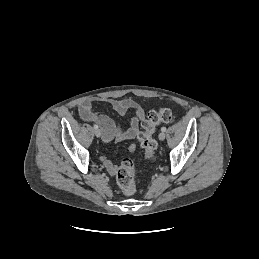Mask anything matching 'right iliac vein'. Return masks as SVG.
Returning <instances> with one entry per match:
<instances>
[{"label":"right iliac vein","mask_w":259,"mask_h":259,"mask_svg":"<svg viewBox=\"0 0 259 259\" xmlns=\"http://www.w3.org/2000/svg\"><path fill=\"white\" fill-rule=\"evenodd\" d=\"M94 133H95L96 137H100L101 136V131L99 129H96L94 131Z\"/></svg>","instance_id":"obj_1"}]
</instances>
